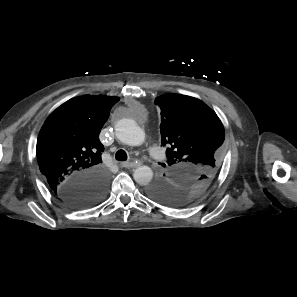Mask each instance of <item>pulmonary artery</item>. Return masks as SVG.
Masks as SVG:
<instances>
[{
    "label": "pulmonary artery",
    "mask_w": 297,
    "mask_h": 297,
    "mask_svg": "<svg viewBox=\"0 0 297 297\" xmlns=\"http://www.w3.org/2000/svg\"><path fill=\"white\" fill-rule=\"evenodd\" d=\"M124 141H128L127 138H123ZM151 154L153 155V157L157 160H162L163 156H162V153L160 150L158 149H152L151 151Z\"/></svg>",
    "instance_id": "obj_1"
}]
</instances>
